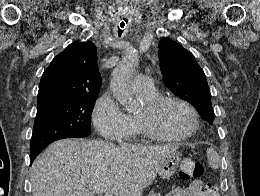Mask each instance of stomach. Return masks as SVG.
<instances>
[{
    "label": "stomach",
    "instance_id": "obj_1",
    "mask_svg": "<svg viewBox=\"0 0 260 196\" xmlns=\"http://www.w3.org/2000/svg\"><path fill=\"white\" fill-rule=\"evenodd\" d=\"M180 162V154L174 152V154H170V156H166L163 158L161 162V166L158 170V174L160 178H166L169 180L173 174H175Z\"/></svg>",
    "mask_w": 260,
    "mask_h": 196
}]
</instances>
